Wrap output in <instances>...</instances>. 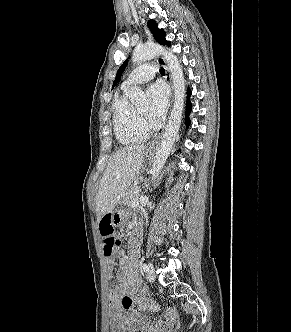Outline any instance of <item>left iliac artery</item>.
<instances>
[{
    "instance_id": "44dca946",
    "label": "left iliac artery",
    "mask_w": 291,
    "mask_h": 332,
    "mask_svg": "<svg viewBox=\"0 0 291 332\" xmlns=\"http://www.w3.org/2000/svg\"><path fill=\"white\" fill-rule=\"evenodd\" d=\"M141 269H142L144 272H147V270H148V266H147V264H145V263H141Z\"/></svg>"
}]
</instances>
